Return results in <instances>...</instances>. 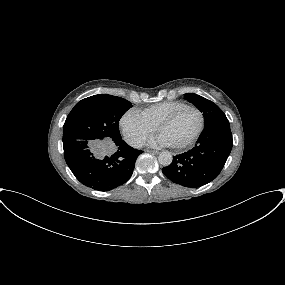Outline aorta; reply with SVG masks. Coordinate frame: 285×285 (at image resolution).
I'll use <instances>...</instances> for the list:
<instances>
[{
  "mask_svg": "<svg viewBox=\"0 0 285 285\" xmlns=\"http://www.w3.org/2000/svg\"><path fill=\"white\" fill-rule=\"evenodd\" d=\"M173 157L170 152L163 151L158 156V161L162 166H169L172 163Z\"/></svg>",
  "mask_w": 285,
  "mask_h": 285,
  "instance_id": "762f6f07",
  "label": "aorta"
}]
</instances>
